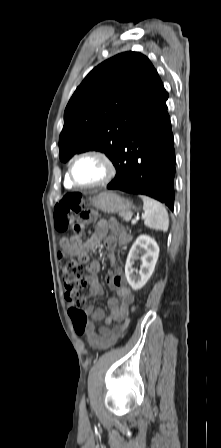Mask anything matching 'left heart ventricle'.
Segmentation results:
<instances>
[{"instance_id":"left-heart-ventricle-1","label":"left heart ventricle","mask_w":221,"mask_h":448,"mask_svg":"<svg viewBox=\"0 0 221 448\" xmlns=\"http://www.w3.org/2000/svg\"><path fill=\"white\" fill-rule=\"evenodd\" d=\"M104 163L93 156H86L76 161L73 169L74 178L82 184H93L106 176Z\"/></svg>"}]
</instances>
